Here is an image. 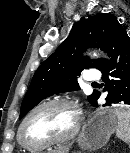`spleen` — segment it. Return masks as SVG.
<instances>
[{
    "instance_id": "spleen-1",
    "label": "spleen",
    "mask_w": 130,
    "mask_h": 153,
    "mask_svg": "<svg viewBox=\"0 0 130 153\" xmlns=\"http://www.w3.org/2000/svg\"><path fill=\"white\" fill-rule=\"evenodd\" d=\"M114 112L118 120L116 134L130 146V108H116L114 109Z\"/></svg>"
}]
</instances>
